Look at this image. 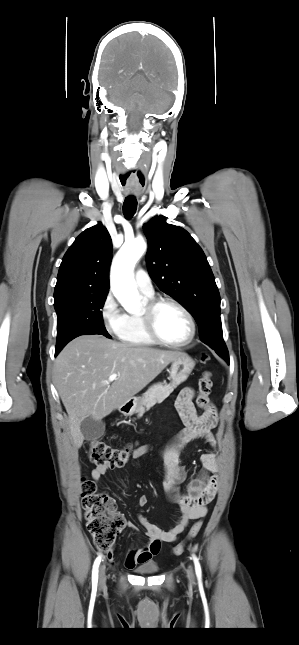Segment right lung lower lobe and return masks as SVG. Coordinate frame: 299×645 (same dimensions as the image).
<instances>
[{
    "label": "right lung lower lobe",
    "instance_id": "1",
    "mask_svg": "<svg viewBox=\"0 0 299 645\" xmlns=\"http://www.w3.org/2000/svg\"><path fill=\"white\" fill-rule=\"evenodd\" d=\"M59 351H60V350H59ZM59 351H55V354L57 355V354L59 353Z\"/></svg>",
    "mask_w": 299,
    "mask_h": 645
}]
</instances>
